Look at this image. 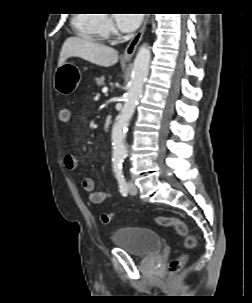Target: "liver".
<instances>
[{"label": "liver", "mask_w": 252, "mask_h": 303, "mask_svg": "<svg viewBox=\"0 0 252 303\" xmlns=\"http://www.w3.org/2000/svg\"><path fill=\"white\" fill-rule=\"evenodd\" d=\"M70 57H79L99 66L110 67L117 63L118 52L88 39L69 37L60 51L58 67Z\"/></svg>", "instance_id": "obj_1"}]
</instances>
